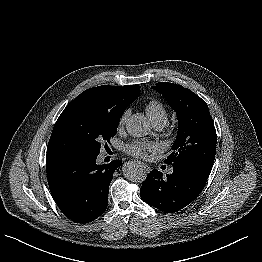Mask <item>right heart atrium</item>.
I'll use <instances>...</instances> for the list:
<instances>
[{"instance_id":"1","label":"right heart atrium","mask_w":262,"mask_h":262,"mask_svg":"<svg viewBox=\"0 0 262 262\" xmlns=\"http://www.w3.org/2000/svg\"><path fill=\"white\" fill-rule=\"evenodd\" d=\"M130 114H131V110L130 109H126L122 113V115H121V117L119 119V123H118L119 128L123 127L126 124Z\"/></svg>"}]
</instances>
